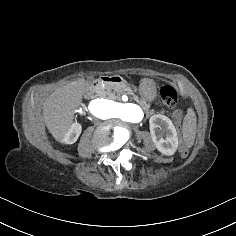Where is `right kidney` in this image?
<instances>
[{
	"mask_svg": "<svg viewBox=\"0 0 236 236\" xmlns=\"http://www.w3.org/2000/svg\"><path fill=\"white\" fill-rule=\"evenodd\" d=\"M82 131V126L80 123H73L70 128L67 130V132L60 137L59 139H57L60 143H64V144H73L77 141V139L79 138L80 134Z\"/></svg>",
	"mask_w": 236,
	"mask_h": 236,
	"instance_id": "ca27d5eb",
	"label": "right kidney"
}]
</instances>
